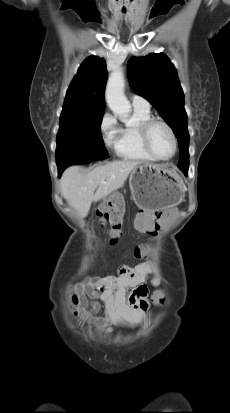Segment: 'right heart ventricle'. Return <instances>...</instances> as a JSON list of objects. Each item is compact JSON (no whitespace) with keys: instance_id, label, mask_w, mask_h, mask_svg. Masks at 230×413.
<instances>
[{"instance_id":"obj_1","label":"right heart ventricle","mask_w":230,"mask_h":413,"mask_svg":"<svg viewBox=\"0 0 230 413\" xmlns=\"http://www.w3.org/2000/svg\"><path fill=\"white\" fill-rule=\"evenodd\" d=\"M134 118L136 122L133 125H126L119 130V135L114 146L115 153L118 157L136 161L149 162L153 159L144 150L140 134V125L151 118L150 111L145 109L134 108Z\"/></svg>"}]
</instances>
